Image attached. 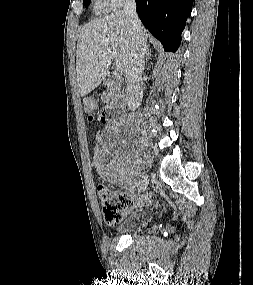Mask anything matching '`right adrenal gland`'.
<instances>
[{"label":"right adrenal gland","mask_w":253,"mask_h":285,"mask_svg":"<svg viewBox=\"0 0 253 285\" xmlns=\"http://www.w3.org/2000/svg\"><path fill=\"white\" fill-rule=\"evenodd\" d=\"M151 54L149 52V48L147 47V51H146V63L148 62V60L150 59Z\"/></svg>","instance_id":"1"}]
</instances>
